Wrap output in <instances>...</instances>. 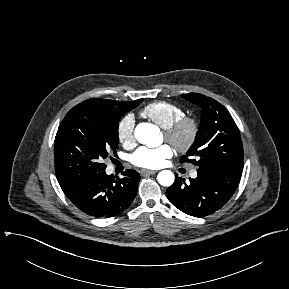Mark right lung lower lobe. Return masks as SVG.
I'll return each instance as SVG.
<instances>
[{"mask_svg": "<svg viewBox=\"0 0 289 289\" xmlns=\"http://www.w3.org/2000/svg\"><path fill=\"white\" fill-rule=\"evenodd\" d=\"M124 178L102 172L65 191L67 198L85 214L110 218L127 209L137 194L140 175L132 169L122 173Z\"/></svg>", "mask_w": 289, "mask_h": 289, "instance_id": "obj_1", "label": "right lung lower lobe"}]
</instances>
